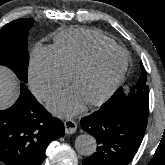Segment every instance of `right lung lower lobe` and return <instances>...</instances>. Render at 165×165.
Wrapping results in <instances>:
<instances>
[{"label": "right lung lower lobe", "instance_id": "1", "mask_svg": "<svg viewBox=\"0 0 165 165\" xmlns=\"http://www.w3.org/2000/svg\"><path fill=\"white\" fill-rule=\"evenodd\" d=\"M64 136V124L45 110L21 83L16 103L0 111V161L7 165H41L49 143Z\"/></svg>", "mask_w": 165, "mask_h": 165}]
</instances>
